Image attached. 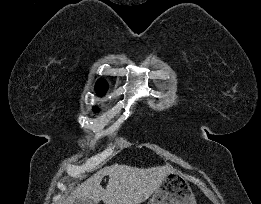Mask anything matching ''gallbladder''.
Listing matches in <instances>:
<instances>
[{
	"mask_svg": "<svg viewBox=\"0 0 261 204\" xmlns=\"http://www.w3.org/2000/svg\"><path fill=\"white\" fill-rule=\"evenodd\" d=\"M74 204H93V201L88 198H80L75 200Z\"/></svg>",
	"mask_w": 261,
	"mask_h": 204,
	"instance_id": "bac80fb5",
	"label": "gallbladder"
}]
</instances>
